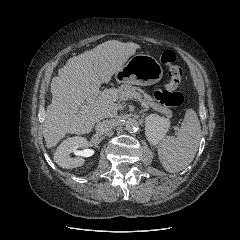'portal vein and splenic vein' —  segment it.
<instances>
[{
  "label": "portal vein and splenic vein",
  "mask_w": 240,
  "mask_h": 240,
  "mask_svg": "<svg viewBox=\"0 0 240 240\" xmlns=\"http://www.w3.org/2000/svg\"><path fill=\"white\" fill-rule=\"evenodd\" d=\"M99 94L102 95V96H104V95H106V96H112V95L115 94V91H114L113 89H108V90H104V91L101 92V91L99 90V86L93 85V86L91 87V92H90V95H89L88 100H93V99H95ZM129 98H135V99H137V101H139V102L141 103V105H142L144 108H146V109L149 108L148 104L145 103V102H143V101H141L140 98H139L137 95H134L133 93H130V94H129Z\"/></svg>",
  "instance_id": "18ae733b"
}]
</instances>
